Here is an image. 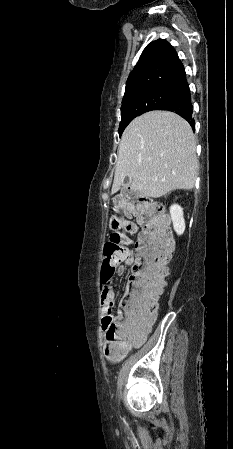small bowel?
Listing matches in <instances>:
<instances>
[{"instance_id":"small-bowel-1","label":"small bowel","mask_w":233,"mask_h":449,"mask_svg":"<svg viewBox=\"0 0 233 449\" xmlns=\"http://www.w3.org/2000/svg\"><path fill=\"white\" fill-rule=\"evenodd\" d=\"M137 231L136 226H132V232ZM134 264V258L130 252L128 256L121 258V260L115 266L113 272L109 273L107 276L101 278V301L105 308L106 313L114 306L116 302V294L112 287L113 277L116 273H120L123 270V266H132ZM155 318V317H154ZM154 318L142 323L136 332V338L134 342L126 348L129 351L135 347H139L146 339L148 333L151 330ZM104 326V325H103ZM116 344V343H115Z\"/></svg>"}]
</instances>
